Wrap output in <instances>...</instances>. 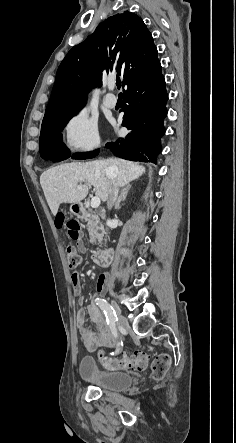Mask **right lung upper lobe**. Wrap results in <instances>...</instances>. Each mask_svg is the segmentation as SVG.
Listing matches in <instances>:
<instances>
[{"mask_svg":"<svg viewBox=\"0 0 236 443\" xmlns=\"http://www.w3.org/2000/svg\"><path fill=\"white\" fill-rule=\"evenodd\" d=\"M157 61L152 35L140 17L129 11L109 17L61 62L44 119L82 108L106 74L123 77L124 86Z\"/></svg>","mask_w":236,"mask_h":443,"instance_id":"1","label":"right lung upper lobe"}]
</instances>
